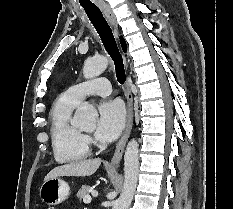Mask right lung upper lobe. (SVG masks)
<instances>
[{
	"label": "right lung upper lobe",
	"mask_w": 233,
	"mask_h": 209,
	"mask_svg": "<svg viewBox=\"0 0 233 209\" xmlns=\"http://www.w3.org/2000/svg\"><path fill=\"white\" fill-rule=\"evenodd\" d=\"M120 43H121V46L123 48V51L126 52V42L123 39V37H120Z\"/></svg>",
	"instance_id": "1"
}]
</instances>
